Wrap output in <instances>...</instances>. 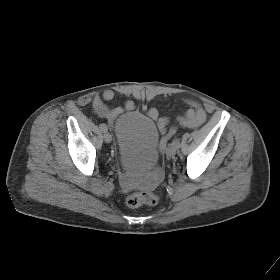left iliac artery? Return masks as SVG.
<instances>
[{"label":"left iliac artery","mask_w":280,"mask_h":280,"mask_svg":"<svg viewBox=\"0 0 280 280\" xmlns=\"http://www.w3.org/2000/svg\"><path fill=\"white\" fill-rule=\"evenodd\" d=\"M171 145L178 149L180 147V142L178 139H174Z\"/></svg>","instance_id":"left-iliac-artery-1"}]
</instances>
